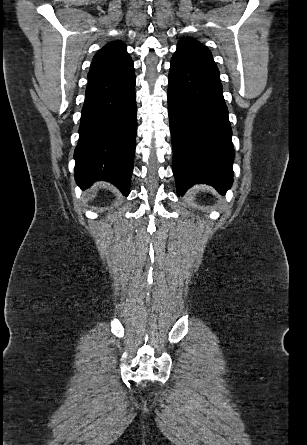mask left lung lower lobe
Listing matches in <instances>:
<instances>
[{
  "label": "left lung lower lobe",
  "instance_id": "0a47b994",
  "mask_svg": "<svg viewBox=\"0 0 307 445\" xmlns=\"http://www.w3.org/2000/svg\"><path fill=\"white\" fill-rule=\"evenodd\" d=\"M168 112L178 194L206 183L224 195L233 182L234 149L220 80L173 56Z\"/></svg>",
  "mask_w": 307,
  "mask_h": 445
}]
</instances>
